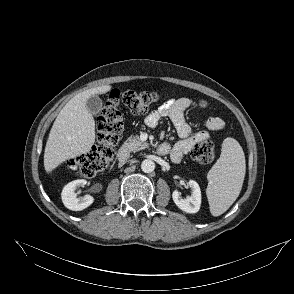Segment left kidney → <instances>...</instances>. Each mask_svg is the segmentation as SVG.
Wrapping results in <instances>:
<instances>
[{
	"instance_id": "1",
	"label": "left kidney",
	"mask_w": 294,
	"mask_h": 294,
	"mask_svg": "<svg viewBox=\"0 0 294 294\" xmlns=\"http://www.w3.org/2000/svg\"><path fill=\"white\" fill-rule=\"evenodd\" d=\"M188 184L192 190L190 196H188L186 199H183L178 191H174L172 198L177 207L182 211L186 213H196L199 211L201 205L200 187L194 180H189Z\"/></svg>"
}]
</instances>
